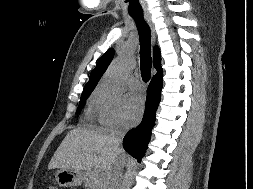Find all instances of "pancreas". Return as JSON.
Listing matches in <instances>:
<instances>
[{
	"label": "pancreas",
	"mask_w": 253,
	"mask_h": 189,
	"mask_svg": "<svg viewBox=\"0 0 253 189\" xmlns=\"http://www.w3.org/2000/svg\"><path fill=\"white\" fill-rule=\"evenodd\" d=\"M104 174L98 170H89L85 173L84 183L88 189H103Z\"/></svg>",
	"instance_id": "cf45deb5"
}]
</instances>
